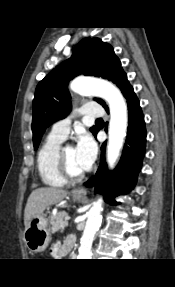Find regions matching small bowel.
Wrapping results in <instances>:
<instances>
[{
	"mask_svg": "<svg viewBox=\"0 0 175 287\" xmlns=\"http://www.w3.org/2000/svg\"><path fill=\"white\" fill-rule=\"evenodd\" d=\"M75 239L73 236H69L64 244H60L59 242H55L51 247V252L56 257H64L70 251Z\"/></svg>",
	"mask_w": 175,
	"mask_h": 287,
	"instance_id": "c3829d8e",
	"label": "small bowel"
}]
</instances>
